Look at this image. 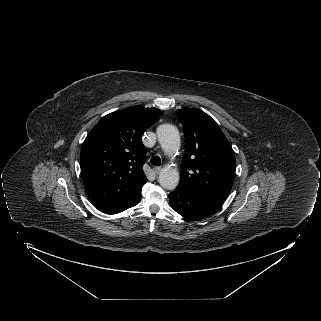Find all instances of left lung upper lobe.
I'll use <instances>...</instances> for the list:
<instances>
[{
  "label": "left lung upper lobe",
  "mask_w": 321,
  "mask_h": 321,
  "mask_svg": "<svg viewBox=\"0 0 321 321\" xmlns=\"http://www.w3.org/2000/svg\"><path fill=\"white\" fill-rule=\"evenodd\" d=\"M185 131V152L177 189L225 200L232 188L236 160L218 124L199 109L177 110Z\"/></svg>",
  "instance_id": "left-lung-upper-lobe-1"
}]
</instances>
